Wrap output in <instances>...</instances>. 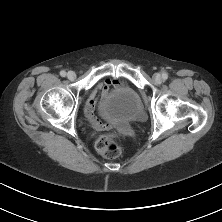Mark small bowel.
I'll list each match as a JSON object with an SVG mask.
<instances>
[{"mask_svg":"<svg viewBox=\"0 0 222 222\" xmlns=\"http://www.w3.org/2000/svg\"><path fill=\"white\" fill-rule=\"evenodd\" d=\"M120 82L112 77H107L103 81H101L91 92L86 105H85V113L86 116L91 123V125L98 131L107 130L109 128V124L103 123L100 121L94 114L95 106L97 99L101 98V105L107 99L110 89L112 87L119 86Z\"/></svg>","mask_w":222,"mask_h":222,"instance_id":"small-bowel-1","label":"small bowel"}]
</instances>
